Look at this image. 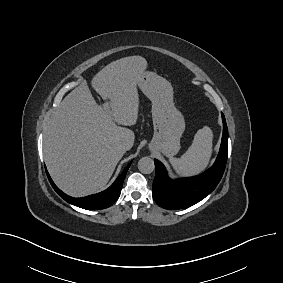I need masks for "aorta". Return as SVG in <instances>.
Segmentation results:
<instances>
[{
  "mask_svg": "<svg viewBox=\"0 0 283 283\" xmlns=\"http://www.w3.org/2000/svg\"><path fill=\"white\" fill-rule=\"evenodd\" d=\"M138 169L143 174H150L154 171L155 165L150 157H142L138 162Z\"/></svg>",
  "mask_w": 283,
  "mask_h": 283,
  "instance_id": "1",
  "label": "aorta"
}]
</instances>
